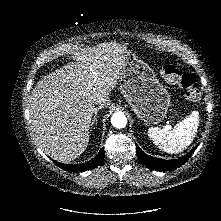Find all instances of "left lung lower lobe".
I'll return each mask as SVG.
<instances>
[{
  "label": "left lung lower lobe",
  "mask_w": 221,
  "mask_h": 221,
  "mask_svg": "<svg viewBox=\"0 0 221 221\" xmlns=\"http://www.w3.org/2000/svg\"><path fill=\"white\" fill-rule=\"evenodd\" d=\"M197 146L187 155L175 160H162L145 154L139 147H136L139 161L146 165L147 168L157 171H168L182 166L190 157Z\"/></svg>",
  "instance_id": "obj_1"
}]
</instances>
